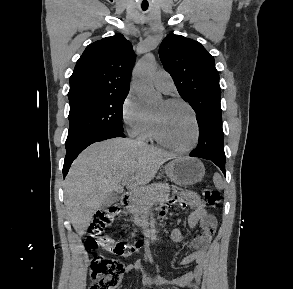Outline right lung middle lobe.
Returning a JSON list of instances; mask_svg holds the SVG:
<instances>
[{"label": "right lung middle lobe", "mask_w": 293, "mask_h": 289, "mask_svg": "<svg viewBox=\"0 0 293 289\" xmlns=\"http://www.w3.org/2000/svg\"><path fill=\"white\" fill-rule=\"evenodd\" d=\"M126 97L127 94L87 96L70 101V126L65 145L102 130L123 131L122 107Z\"/></svg>", "instance_id": "obj_1"}]
</instances>
